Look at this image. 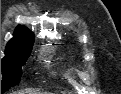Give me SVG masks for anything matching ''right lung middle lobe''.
<instances>
[{"label": "right lung middle lobe", "mask_w": 121, "mask_h": 94, "mask_svg": "<svg viewBox=\"0 0 121 94\" xmlns=\"http://www.w3.org/2000/svg\"><path fill=\"white\" fill-rule=\"evenodd\" d=\"M33 43L34 37L31 36L25 40L6 46L5 57L1 61L3 72L1 93L20 81L22 75L21 67L28 59Z\"/></svg>", "instance_id": "dd1d6c3e"}]
</instances>
